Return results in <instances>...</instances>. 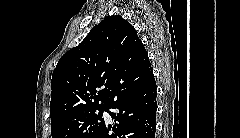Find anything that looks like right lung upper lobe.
Here are the masks:
<instances>
[{"label": "right lung upper lobe", "mask_w": 240, "mask_h": 138, "mask_svg": "<svg viewBox=\"0 0 240 138\" xmlns=\"http://www.w3.org/2000/svg\"><path fill=\"white\" fill-rule=\"evenodd\" d=\"M152 74L134 27L120 15L108 16L58 61L51 80V124L89 108L108 107Z\"/></svg>", "instance_id": "cb5924a9"}]
</instances>
